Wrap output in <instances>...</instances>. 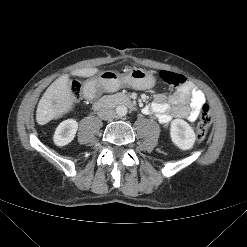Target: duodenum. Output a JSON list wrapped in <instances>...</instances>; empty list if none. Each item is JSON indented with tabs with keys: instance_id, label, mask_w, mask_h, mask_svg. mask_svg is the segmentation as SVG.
I'll return each instance as SVG.
<instances>
[{
	"instance_id": "410a0bca",
	"label": "duodenum",
	"mask_w": 247,
	"mask_h": 247,
	"mask_svg": "<svg viewBox=\"0 0 247 247\" xmlns=\"http://www.w3.org/2000/svg\"><path fill=\"white\" fill-rule=\"evenodd\" d=\"M89 95H92V93H89ZM94 106L99 110L109 109L115 106H126L132 110L136 109L133 101L127 95L121 93L101 97L94 102Z\"/></svg>"
}]
</instances>
